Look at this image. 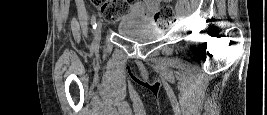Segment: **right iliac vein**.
Returning <instances> with one entry per match:
<instances>
[{"instance_id": "1", "label": "right iliac vein", "mask_w": 267, "mask_h": 115, "mask_svg": "<svg viewBox=\"0 0 267 115\" xmlns=\"http://www.w3.org/2000/svg\"><path fill=\"white\" fill-rule=\"evenodd\" d=\"M101 31H102V25L100 22H98L96 30H95V39L99 40L101 36Z\"/></svg>"}]
</instances>
